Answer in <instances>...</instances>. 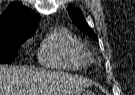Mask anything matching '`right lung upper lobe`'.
<instances>
[{
	"mask_svg": "<svg viewBox=\"0 0 135 95\" xmlns=\"http://www.w3.org/2000/svg\"><path fill=\"white\" fill-rule=\"evenodd\" d=\"M39 15L31 12L27 7L13 3L0 17V35L11 32H35Z\"/></svg>",
	"mask_w": 135,
	"mask_h": 95,
	"instance_id": "cb5924a9",
	"label": "right lung upper lobe"
}]
</instances>
